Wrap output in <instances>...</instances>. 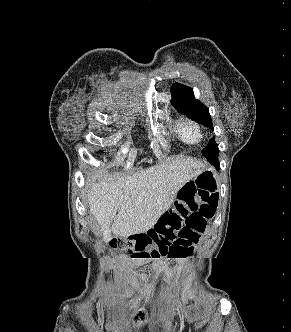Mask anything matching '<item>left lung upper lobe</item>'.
Instances as JSON below:
<instances>
[{"instance_id":"1","label":"left lung upper lobe","mask_w":291,"mask_h":332,"mask_svg":"<svg viewBox=\"0 0 291 332\" xmlns=\"http://www.w3.org/2000/svg\"><path fill=\"white\" fill-rule=\"evenodd\" d=\"M171 93L173 97L172 102L180 113L213 129L208 108L199 100L195 99L191 88L175 83L171 87ZM202 154L210 163L218 160L219 149L214 139L208 143V146L202 151Z\"/></svg>"}]
</instances>
